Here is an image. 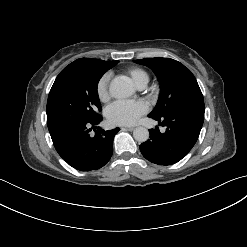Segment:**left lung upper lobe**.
<instances>
[{
    "label": "left lung upper lobe",
    "instance_id": "obj_1",
    "mask_svg": "<svg viewBox=\"0 0 247 247\" xmlns=\"http://www.w3.org/2000/svg\"><path fill=\"white\" fill-rule=\"evenodd\" d=\"M136 63L151 68L160 81L159 100L148 115L160 119L172 112L205 111L204 99L191 71L180 62L170 58H144Z\"/></svg>",
    "mask_w": 247,
    "mask_h": 247
}]
</instances>
